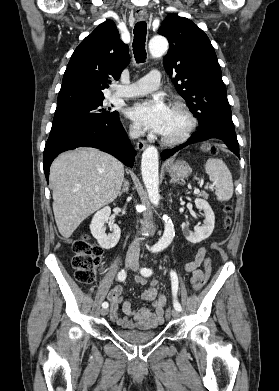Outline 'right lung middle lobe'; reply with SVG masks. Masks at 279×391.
<instances>
[{"mask_svg": "<svg viewBox=\"0 0 279 391\" xmlns=\"http://www.w3.org/2000/svg\"><path fill=\"white\" fill-rule=\"evenodd\" d=\"M103 100L81 102L56 109L52 126L98 122L117 115L116 111L111 112L110 108L102 107Z\"/></svg>", "mask_w": 279, "mask_h": 391, "instance_id": "1", "label": "right lung middle lobe"}]
</instances>
